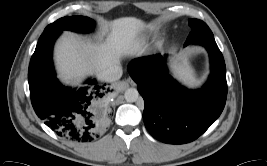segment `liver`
<instances>
[{
  "label": "liver",
  "instance_id": "6515ba94",
  "mask_svg": "<svg viewBox=\"0 0 267 166\" xmlns=\"http://www.w3.org/2000/svg\"><path fill=\"white\" fill-rule=\"evenodd\" d=\"M111 32L105 43L93 44L73 34L62 37L55 48V61L61 78L75 83L86 74L100 73L107 68L120 65L123 56L135 55L140 50L138 34L145 27L135 17H123L109 23ZM175 73L185 84H194L195 76L185 61L175 65Z\"/></svg>",
  "mask_w": 267,
  "mask_h": 166
}]
</instances>
